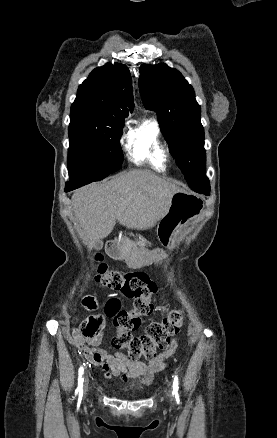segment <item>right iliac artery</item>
<instances>
[{"label":"right iliac artery","instance_id":"obj_1","mask_svg":"<svg viewBox=\"0 0 277 438\" xmlns=\"http://www.w3.org/2000/svg\"><path fill=\"white\" fill-rule=\"evenodd\" d=\"M78 374H79V377H78V387H77L75 393L76 394L79 393V398L81 399L82 393H83V380H84L83 379L84 368L82 366L79 368Z\"/></svg>","mask_w":277,"mask_h":438}]
</instances>
